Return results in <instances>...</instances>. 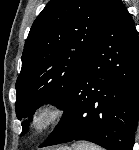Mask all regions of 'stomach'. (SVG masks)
<instances>
[{"instance_id": "stomach-1", "label": "stomach", "mask_w": 139, "mask_h": 150, "mask_svg": "<svg viewBox=\"0 0 139 150\" xmlns=\"http://www.w3.org/2000/svg\"><path fill=\"white\" fill-rule=\"evenodd\" d=\"M58 150H71L70 148H59Z\"/></svg>"}]
</instances>
